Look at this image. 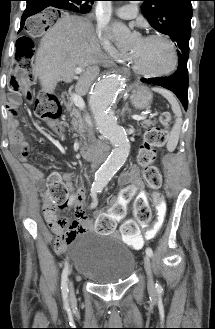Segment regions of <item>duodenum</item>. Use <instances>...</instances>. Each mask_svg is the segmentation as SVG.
<instances>
[{
  "instance_id": "1",
  "label": "duodenum",
  "mask_w": 215,
  "mask_h": 329,
  "mask_svg": "<svg viewBox=\"0 0 215 329\" xmlns=\"http://www.w3.org/2000/svg\"><path fill=\"white\" fill-rule=\"evenodd\" d=\"M61 102L64 107H69L71 105V99L70 95L68 93H63L61 95ZM100 149H105V147H81L80 148V154L81 156L91 162H97L98 161V153L100 152Z\"/></svg>"
}]
</instances>
